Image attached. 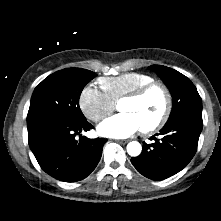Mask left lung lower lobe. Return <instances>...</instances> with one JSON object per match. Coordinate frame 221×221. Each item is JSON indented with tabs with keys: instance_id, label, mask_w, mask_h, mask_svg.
I'll return each instance as SVG.
<instances>
[{
	"instance_id": "left-lung-lower-lobe-1",
	"label": "left lung lower lobe",
	"mask_w": 221,
	"mask_h": 221,
	"mask_svg": "<svg viewBox=\"0 0 221 221\" xmlns=\"http://www.w3.org/2000/svg\"><path fill=\"white\" fill-rule=\"evenodd\" d=\"M203 128L202 114H182L167 122L160 130L162 139L154 135L152 144L143 142L141 155L131 158L133 166L152 180L166 179L186 167L197 151Z\"/></svg>"
}]
</instances>
